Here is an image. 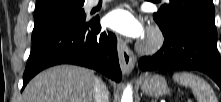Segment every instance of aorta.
I'll return each instance as SVG.
<instances>
[{
  "label": "aorta",
  "mask_w": 221,
  "mask_h": 102,
  "mask_svg": "<svg viewBox=\"0 0 221 102\" xmlns=\"http://www.w3.org/2000/svg\"><path fill=\"white\" fill-rule=\"evenodd\" d=\"M121 102H133L132 86L128 85L122 95Z\"/></svg>",
  "instance_id": "obj_1"
}]
</instances>
